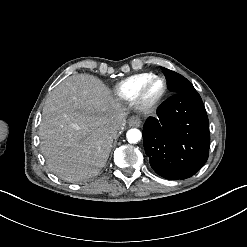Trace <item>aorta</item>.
<instances>
[{
  "label": "aorta",
  "mask_w": 247,
  "mask_h": 247,
  "mask_svg": "<svg viewBox=\"0 0 247 247\" xmlns=\"http://www.w3.org/2000/svg\"><path fill=\"white\" fill-rule=\"evenodd\" d=\"M129 143H137L141 140L142 134L138 129H130L126 134Z\"/></svg>",
  "instance_id": "762f6f07"
}]
</instances>
